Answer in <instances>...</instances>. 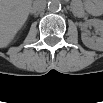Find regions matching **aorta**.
I'll use <instances>...</instances> for the list:
<instances>
[{"mask_svg": "<svg viewBox=\"0 0 103 103\" xmlns=\"http://www.w3.org/2000/svg\"><path fill=\"white\" fill-rule=\"evenodd\" d=\"M48 9L51 12H58L61 10V2L59 0H50L48 2Z\"/></svg>", "mask_w": 103, "mask_h": 103, "instance_id": "aorta-1", "label": "aorta"}]
</instances>
